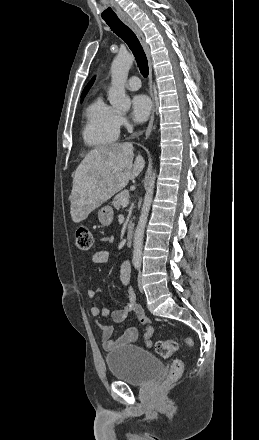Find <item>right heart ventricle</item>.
Masks as SVG:
<instances>
[{"label": "right heart ventricle", "instance_id": "1", "mask_svg": "<svg viewBox=\"0 0 259 440\" xmlns=\"http://www.w3.org/2000/svg\"><path fill=\"white\" fill-rule=\"evenodd\" d=\"M116 110L96 97L86 108L82 137L91 148H104L114 144L119 137Z\"/></svg>", "mask_w": 259, "mask_h": 440}]
</instances>
